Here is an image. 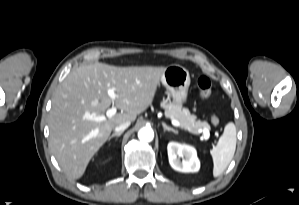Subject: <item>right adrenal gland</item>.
Listing matches in <instances>:
<instances>
[{"mask_svg":"<svg viewBox=\"0 0 299 205\" xmlns=\"http://www.w3.org/2000/svg\"><path fill=\"white\" fill-rule=\"evenodd\" d=\"M123 132H119V133H113L108 140L110 141L113 137H120L122 135Z\"/></svg>","mask_w":299,"mask_h":205,"instance_id":"1","label":"right adrenal gland"}]
</instances>
